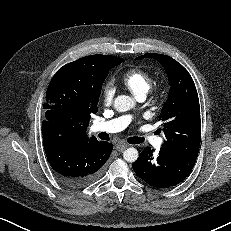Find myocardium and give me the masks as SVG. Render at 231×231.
<instances>
[{
    "label": "myocardium",
    "mask_w": 231,
    "mask_h": 231,
    "mask_svg": "<svg viewBox=\"0 0 231 231\" xmlns=\"http://www.w3.org/2000/svg\"><path fill=\"white\" fill-rule=\"evenodd\" d=\"M154 90H155V93H156V94H159V95H160V94H162V92H163V87H162V85H158V86L155 87Z\"/></svg>",
    "instance_id": "myocardium-1"
}]
</instances>
